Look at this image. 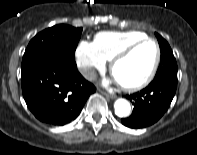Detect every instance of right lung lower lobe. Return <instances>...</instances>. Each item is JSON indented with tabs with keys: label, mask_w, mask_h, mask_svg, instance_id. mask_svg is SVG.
<instances>
[{
	"label": "right lung lower lobe",
	"mask_w": 197,
	"mask_h": 155,
	"mask_svg": "<svg viewBox=\"0 0 197 155\" xmlns=\"http://www.w3.org/2000/svg\"><path fill=\"white\" fill-rule=\"evenodd\" d=\"M29 110L42 122L62 126L74 120L96 91L78 72L75 59L48 57L21 74Z\"/></svg>",
	"instance_id": "right-lung-lower-lobe-1"
}]
</instances>
